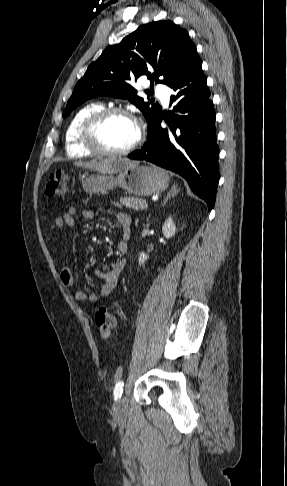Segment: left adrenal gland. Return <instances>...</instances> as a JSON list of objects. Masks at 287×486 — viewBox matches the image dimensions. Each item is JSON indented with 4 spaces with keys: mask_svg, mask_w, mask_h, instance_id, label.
Instances as JSON below:
<instances>
[{
    "mask_svg": "<svg viewBox=\"0 0 287 486\" xmlns=\"http://www.w3.org/2000/svg\"><path fill=\"white\" fill-rule=\"evenodd\" d=\"M179 191L177 190V185H173L171 190L168 192L167 196L165 197L162 205H165L167 201L171 198L174 197Z\"/></svg>",
    "mask_w": 287,
    "mask_h": 486,
    "instance_id": "1",
    "label": "left adrenal gland"
}]
</instances>
